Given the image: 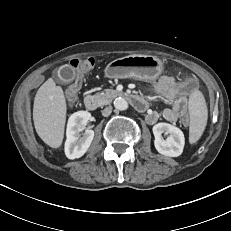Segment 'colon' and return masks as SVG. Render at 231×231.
Here are the masks:
<instances>
[{
	"mask_svg": "<svg viewBox=\"0 0 231 231\" xmlns=\"http://www.w3.org/2000/svg\"><path fill=\"white\" fill-rule=\"evenodd\" d=\"M94 59L93 58H83V59H75L71 61V67L78 69L79 73L76 75V79L71 82L68 87L66 88V97L69 102H73L75 98L78 96V91L80 89V86L82 85V80L84 79V76L86 75V71L90 70L94 66ZM45 81V78L43 76H39L37 78V82L39 84H42ZM37 82H34L31 85V88L33 90H36L39 87V84ZM182 92L185 94H191L196 89V82L193 79H187L181 84ZM25 95L27 97H30L32 95V92L30 90H27L25 92ZM182 123L184 125H188L189 120L187 117L182 119Z\"/></svg>",
	"mask_w": 231,
	"mask_h": 231,
	"instance_id": "5ec220e1",
	"label": "colon"
}]
</instances>
